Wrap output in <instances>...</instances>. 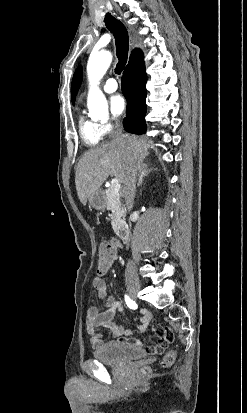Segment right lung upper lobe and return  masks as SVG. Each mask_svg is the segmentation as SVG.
<instances>
[{
  "label": "right lung upper lobe",
  "instance_id": "obj_1",
  "mask_svg": "<svg viewBox=\"0 0 247 413\" xmlns=\"http://www.w3.org/2000/svg\"><path fill=\"white\" fill-rule=\"evenodd\" d=\"M145 69V64L143 60V53L140 49H135L131 53L129 63L123 72V75H131L141 72Z\"/></svg>",
  "mask_w": 247,
  "mask_h": 413
}]
</instances>
